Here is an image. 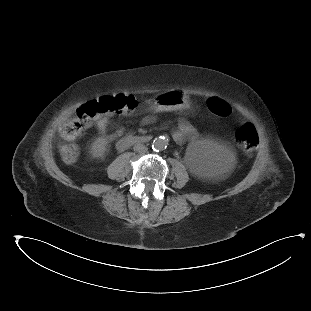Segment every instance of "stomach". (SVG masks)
<instances>
[{
    "mask_svg": "<svg viewBox=\"0 0 311 311\" xmlns=\"http://www.w3.org/2000/svg\"><path fill=\"white\" fill-rule=\"evenodd\" d=\"M186 102L187 101L180 94L168 97L164 93H157L149 101L152 107L156 108L157 110H177L183 108Z\"/></svg>",
    "mask_w": 311,
    "mask_h": 311,
    "instance_id": "0dacf381",
    "label": "stomach"
}]
</instances>
